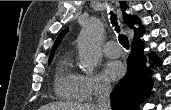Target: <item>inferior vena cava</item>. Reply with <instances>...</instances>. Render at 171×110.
<instances>
[{"instance_id":"inferior-vena-cava-1","label":"inferior vena cava","mask_w":171,"mask_h":110,"mask_svg":"<svg viewBox=\"0 0 171 110\" xmlns=\"http://www.w3.org/2000/svg\"><path fill=\"white\" fill-rule=\"evenodd\" d=\"M111 93V86L108 83H102L99 87L98 110H109V96Z\"/></svg>"}]
</instances>
